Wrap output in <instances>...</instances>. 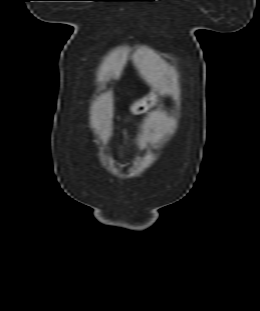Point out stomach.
<instances>
[{
  "mask_svg": "<svg viewBox=\"0 0 260 311\" xmlns=\"http://www.w3.org/2000/svg\"><path fill=\"white\" fill-rule=\"evenodd\" d=\"M158 101V94L151 92L143 99L131 105L130 110L133 114H140L148 110L151 106L155 105Z\"/></svg>",
  "mask_w": 260,
  "mask_h": 311,
  "instance_id": "stomach-1",
  "label": "stomach"
}]
</instances>
